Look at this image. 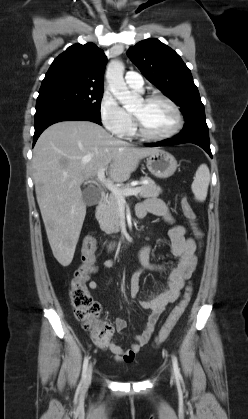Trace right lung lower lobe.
Segmentation results:
<instances>
[{
  "label": "right lung lower lobe",
  "mask_w": 248,
  "mask_h": 419,
  "mask_svg": "<svg viewBox=\"0 0 248 419\" xmlns=\"http://www.w3.org/2000/svg\"><path fill=\"white\" fill-rule=\"evenodd\" d=\"M68 120H86L92 121L101 125V118L77 109V108H52L38 111L35 114V133L33 138V145L36 143L40 134L50 125Z\"/></svg>",
  "instance_id": "obj_1"
}]
</instances>
